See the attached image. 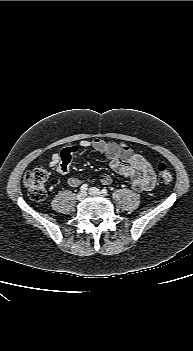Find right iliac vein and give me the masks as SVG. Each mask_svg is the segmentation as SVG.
Returning <instances> with one entry per match:
<instances>
[{"label":"right iliac vein","mask_w":193,"mask_h":351,"mask_svg":"<svg viewBox=\"0 0 193 351\" xmlns=\"http://www.w3.org/2000/svg\"><path fill=\"white\" fill-rule=\"evenodd\" d=\"M85 197H86V192H79V193L77 194V196H76V199H77L78 201H82V200L85 199Z\"/></svg>","instance_id":"63e3f726"}]
</instances>
